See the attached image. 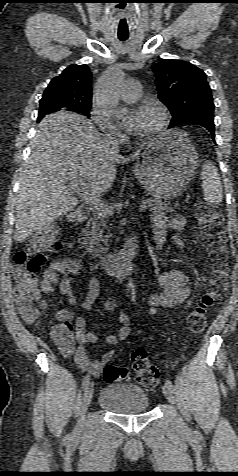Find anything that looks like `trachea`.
I'll return each mask as SVG.
<instances>
[{"instance_id": "3493384b", "label": "trachea", "mask_w": 238, "mask_h": 476, "mask_svg": "<svg viewBox=\"0 0 238 476\" xmlns=\"http://www.w3.org/2000/svg\"><path fill=\"white\" fill-rule=\"evenodd\" d=\"M127 39H128V36H125V37L119 36V40H120V41H125V40H127Z\"/></svg>"}]
</instances>
